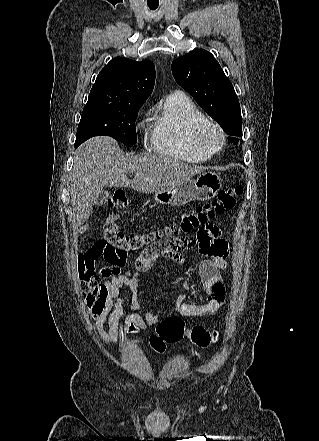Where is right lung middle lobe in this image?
<instances>
[{"label":"right lung middle lobe","instance_id":"dd1d6c3e","mask_svg":"<svg viewBox=\"0 0 319 441\" xmlns=\"http://www.w3.org/2000/svg\"><path fill=\"white\" fill-rule=\"evenodd\" d=\"M140 105L86 104L78 125L75 148L87 139L108 135L132 146L137 142L135 120Z\"/></svg>","mask_w":319,"mask_h":441}]
</instances>
